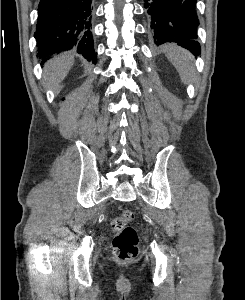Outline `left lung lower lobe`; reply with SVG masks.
<instances>
[{"label":"left lung lower lobe","instance_id":"left-lung-lower-lobe-1","mask_svg":"<svg viewBox=\"0 0 245 300\" xmlns=\"http://www.w3.org/2000/svg\"><path fill=\"white\" fill-rule=\"evenodd\" d=\"M196 0H145L151 19V30L156 45L175 42L194 55L201 52L197 38Z\"/></svg>","mask_w":245,"mask_h":300}]
</instances>
